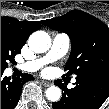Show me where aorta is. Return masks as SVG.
<instances>
[{"mask_svg": "<svg viewBox=\"0 0 109 109\" xmlns=\"http://www.w3.org/2000/svg\"><path fill=\"white\" fill-rule=\"evenodd\" d=\"M30 49L35 53H44L51 46V38L45 31H36L28 39ZM46 97L51 102H57L61 98V90L57 86H51L46 90Z\"/></svg>", "mask_w": 109, "mask_h": 109, "instance_id": "762f6f07", "label": "aorta"}]
</instances>
